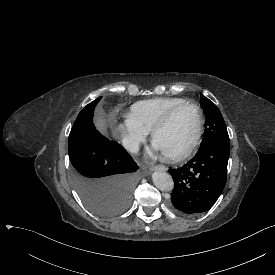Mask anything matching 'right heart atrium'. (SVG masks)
<instances>
[{
	"mask_svg": "<svg viewBox=\"0 0 275 275\" xmlns=\"http://www.w3.org/2000/svg\"><path fill=\"white\" fill-rule=\"evenodd\" d=\"M114 133L131 152H137L147 133L130 119L116 121Z\"/></svg>",
	"mask_w": 275,
	"mask_h": 275,
	"instance_id": "right-heart-atrium-1",
	"label": "right heart atrium"
}]
</instances>
